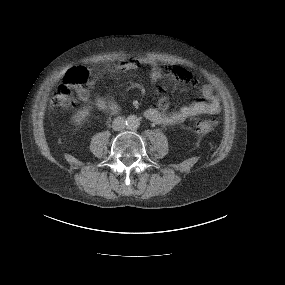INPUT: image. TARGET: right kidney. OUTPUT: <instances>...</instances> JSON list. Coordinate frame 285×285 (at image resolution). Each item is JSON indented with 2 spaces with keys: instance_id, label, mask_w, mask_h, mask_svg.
<instances>
[{
  "instance_id": "obj_1",
  "label": "right kidney",
  "mask_w": 285,
  "mask_h": 285,
  "mask_svg": "<svg viewBox=\"0 0 285 285\" xmlns=\"http://www.w3.org/2000/svg\"><path fill=\"white\" fill-rule=\"evenodd\" d=\"M88 115L89 109L87 107H83V109L78 110L77 113L72 116L71 120L75 125L79 126Z\"/></svg>"
}]
</instances>
